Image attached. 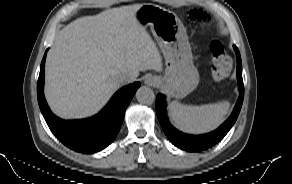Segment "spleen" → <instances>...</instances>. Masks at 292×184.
Segmentation results:
<instances>
[{
    "label": "spleen",
    "instance_id": "obj_1",
    "mask_svg": "<svg viewBox=\"0 0 292 184\" xmlns=\"http://www.w3.org/2000/svg\"><path fill=\"white\" fill-rule=\"evenodd\" d=\"M172 119L183 132L202 134L214 130L222 122L225 114L220 108H182L172 103L169 106Z\"/></svg>",
    "mask_w": 292,
    "mask_h": 184
}]
</instances>
